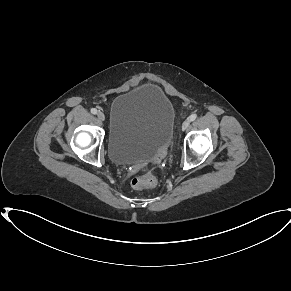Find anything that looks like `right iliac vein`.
<instances>
[{
  "label": "right iliac vein",
  "instance_id": "obj_1",
  "mask_svg": "<svg viewBox=\"0 0 291 291\" xmlns=\"http://www.w3.org/2000/svg\"><path fill=\"white\" fill-rule=\"evenodd\" d=\"M97 117L99 120L104 121L105 120V115L103 112H98Z\"/></svg>",
  "mask_w": 291,
  "mask_h": 291
}]
</instances>
